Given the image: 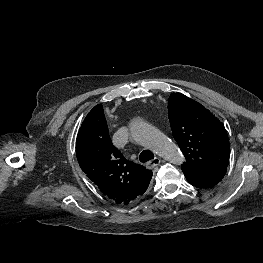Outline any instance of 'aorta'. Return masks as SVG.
Wrapping results in <instances>:
<instances>
[{
	"label": "aorta",
	"instance_id": "obj_1",
	"mask_svg": "<svg viewBox=\"0 0 263 263\" xmlns=\"http://www.w3.org/2000/svg\"><path fill=\"white\" fill-rule=\"evenodd\" d=\"M135 141L150 147L157 154L173 164H182L185 159L178 147L150 124L136 119L130 125Z\"/></svg>",
	"mask_w": 263,
	"mask_h": 263
}]
</instances>
